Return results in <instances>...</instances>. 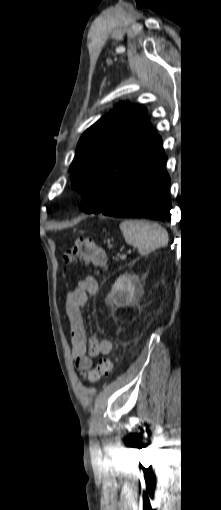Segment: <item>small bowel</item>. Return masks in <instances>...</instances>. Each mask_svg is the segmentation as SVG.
Listing matches in <instances>:
<instances>
[{"mask_svg":"<svg viewBox=\"0 0 221 510\" xmlns=\"http://www.w3.org/2000/svg\"><path fill=\"white\" fill-rule=\"evenodd\" d=\"M98 290V281L92 276H87L67 294L66 298L65 310L70 324L72 357L80 371L90 370L96 357L109 355L113 349L108 339L87 337L82 308L87 303L88 297L95 295Z\"/></svg>","mask_w":221,"mask_h":510,"instance_id":"small-bowel-1","label":"small bowel"}]
</instances>
